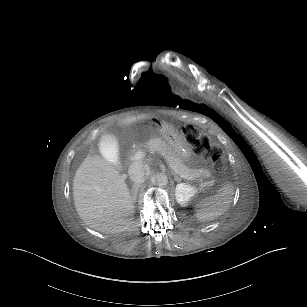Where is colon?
Segmentation results:
<instances>
[{"label": "colon", "mask_w": 307, "mask_h": 307, "mask_svg": "<svg viewBox=\"0 0 307 307\" xmlns=\"http://www.w3.org/2000/svg\"><path fill=\"white\" fill-rule=\"evenodd\" d=\"M184 139L202 153L205 162L209 166L219 168L223 165L222 152L218 148L213 147L207 137L200 135L195 128L187 126L184 130Z\"/></svg>", "instance_id": "colon-1"}]
</instances>
